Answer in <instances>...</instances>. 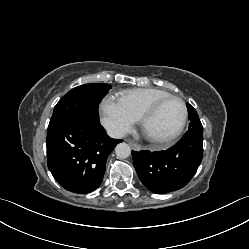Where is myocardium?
I'll list each match as a JSON object with an SVG mask.
<instances>
[{
    "mask_svg": "<svg viewBox=\"0 0 249 249\" xmlns=\"http://www.w3.org/2000/svg\"><path fill=\"white\" fill-rule=\"evenodd\" d=\"M172 99L178 100L182 104L183 111H184L183 118L178 128L168 136H165L162 138H153V137H149L146 135L147 138L158 147H166L170 145L182 133L188 120V107H187L186 102L179 96L169 95V96L160 98L154 103H152L148 108H146L143 111V113L140 116V125L143 130L146 122L157 112V110L161 107V105L165 103L166 101L172 100Z\"/></svg>",
    "mask_w": 249,
    "mask_h": 249,
    "instance_id": "f54148a6",
    "label": "myocardium"
}]
</instances>
